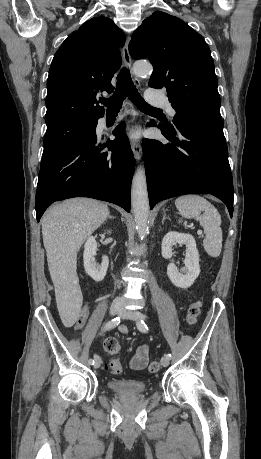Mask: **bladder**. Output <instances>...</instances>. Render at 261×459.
Listing matches in <instances>:
<instances>
[{"label":"bladder","mask_w":261,"mask_h":459,"mask_svg":"<svg viewBox=\"0 0 261 459\" xmlns=\"http://www.w3.org/2000/svg\"><path fill=\"white\" fill-rule=\"evenodd\" d=\"M107 386L112 392L124 396L143 394L147 390L146 384L136 379H111Z\"/></svg>","instance_id":"1"}]
</instances>
